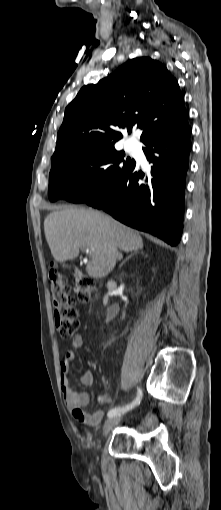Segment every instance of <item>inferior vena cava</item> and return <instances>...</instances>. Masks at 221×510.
Segmentation results:
<instances>
[{
    "instance_id": "602c4592",
    "label": "inferior vena cava",
    "mask_w": 221,
    "mask_h": 510,
    "mask_svg": "<svg viewBox=\"0 0 221 510\" xmlns=\"http://www.w3.org/2000/svg\"><path fill=\"white\" fill-rule=\"evenodd\" d=\"M114 255L117 257V258H120L121 257V254L119 253L118 249H114Z\"/></svg>"
}]
</instances>
